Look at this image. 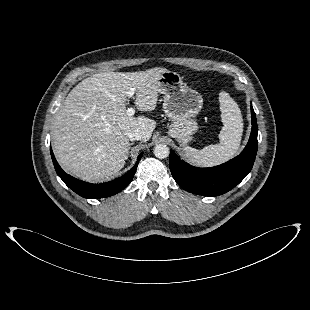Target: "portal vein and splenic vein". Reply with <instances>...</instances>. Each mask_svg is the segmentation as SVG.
Instances as JSON below:
<instances>
[{
    "instance_id": "obj_1",
    "label": "portal vein and splenic vein",
    "mask_w": 310,
    "mask_h": 310,
    "mask_svg": "<svg viewBox=\"0 0 310 310\" xmlns=\"http://www.w3.org/2000/svg\"><path fill=\"white\" fill-rule=\"evenodd\" d=\"M134 93H135V88H131V89L128 91L127 95H128V97L132 98L133 95H134ZM126 113H127L128 116H133V115L135 114V110H134L133 107H130V108H128V109L126 110Z\"/></svg>"
}]
</instances>
